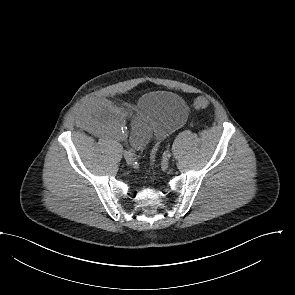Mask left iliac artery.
I'll return each instance as SVG.
<instances>
[{
  "label": "left iliac artery",
  "mask_w": 295,
  "mask_h": 295,
  "mask_svg": "<svg viewBox=\"0 0 295 295\" xmlns=\"http://www.w3.org/2000/svg\"><path fill=\"white\" fill-rule=\"evenodd\" d=\"M164 156H165V157H170V156H171V152H170V151H166V152H164Z\"/></svg>",
  "instance_id": "obj_1"
}]
</instances>
